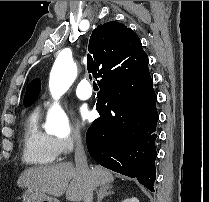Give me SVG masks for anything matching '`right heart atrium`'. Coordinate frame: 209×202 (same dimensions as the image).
Returning a JSON list of instances; mask_svg holds the SVG:
<instances>
[{"label": "right heart atrium", "instance_id": "d8ad5b80", "mask_svg": "<svg viewBox=\"0 0 209 202\" xmlns=\"http://www.w3.org/2000/svg\"><path fill=\"white\" fill-rule=\"evenodd\" d=\"M56 143L60 153L69 155L81 147L82 136L80 133L74 131L67 136L56 138ZM73 173L74 175L79 174L76 169H73Z\"/></svg>", "mask_w": 209, "mask_h": 202}]
</instances>
